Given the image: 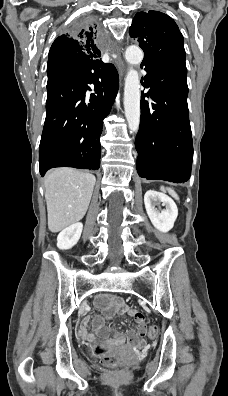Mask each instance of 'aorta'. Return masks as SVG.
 I'll return each mask as SVG.
<instances>
[{
  "label": "aorta",
  "mask_w": 228,
  "mask_h": 396,
  "mask_svg": "<svg viewBox=\"0 0 228 396\" xmlns=\"http://www.w3.org/2000/svg\"><path fill=\"white\" fill-rule=\"evenodd\" d=\"M143 57V51L137 46L126 49L125 58L130 65H140ZM124 109L130 132H137L140 124V80L138 72L132 67L125 79Z\"/></svg>",
  "instance_id": "762f6f07"
}]
</instances>
